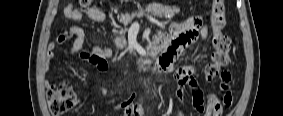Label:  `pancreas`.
I'll return each mask as SVG.
<instances>
[{
    "label": "pancreas",
    "instance_id": "cf45deb5",
    "mask_svg": "<svg viewBox=\"0 0 283 116\" xmlns=\"http://www.w3.org/2000/svg\"><path fill=\"white\" fill-rule=\"evenodd\" d=\"M179 12V9L176 7H169V6H163L160 4H150L148 5L144 10H139L138 12L132 13L131 15H126L125 19H123L122 23L126 26L128 25L135 17H140L142 16L144 13H148L151 14L155 17H166V18H173L174 15L176 13ZM115 45L120 48L123 49L124 47L127 46V41L126 38L124 36V33H120L119 36H117L114 40Z\"/></svg>",
    "mask_w": 283,
    "mask_h": 116
}]
</instances>
